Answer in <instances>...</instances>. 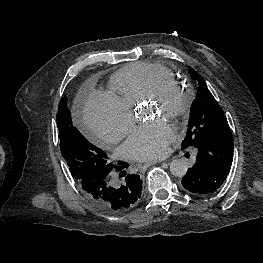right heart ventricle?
<instances>
[{
	"instance_id": "obj_1",
	"label": "right heart ventricle",
	"mask_w": 263,
	"mask_h": 263,
	"mask_svg": "<svg viewBox=\"0 0 263 263\" xmlns=\"http://www.w3.org/2000/svg\"><path fill=\"white\" fill-rule=\"evenodd\" d=\"M175 80L173 73L158 63H131L118 70L110 80L111 94L132 110L163 80Z\"/></svg>"
}]
</instances>
